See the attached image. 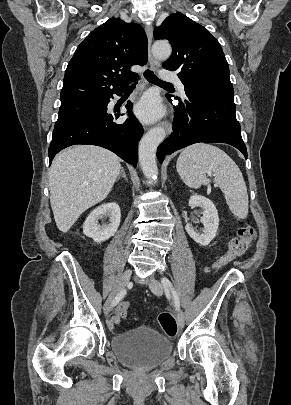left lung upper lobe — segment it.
<instances>
[{
	"label": "left lung upper lobe",
	"instance_id": "5c2ea615",
	"mask_svg": "<svg viewBox=\"0 0 291 405\" xmlns=\"http://www.w3.org/2000/svg\"><path fill=\"white\" fill-rule=\"evenodd\" d=\"M154 38L171 43L173 52L163 67L177 71L184 86L233 87L223 50L205 27L177 12L155 28Z\"/></svg>",
	"mask_w": 291,
	"mask_h": 405
}]
</instances>
